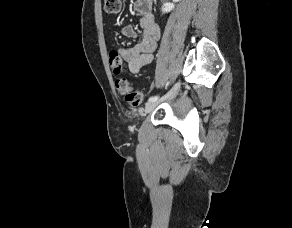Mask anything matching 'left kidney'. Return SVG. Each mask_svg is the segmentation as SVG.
Segmentation results:
<instances>
[{"instance_id":"1","label":"left kidney","mask_w":292,"mask_h":228,"mask_svg":"<svg viewBox=\"0 0 292 228\" xmlns=\"http://www.w3.org/2000/svg\"><path fill=\"white\" fill-rule=\"evenodd\" d=\"M180 0H173V3H164L163 6H162V12L163 13H168L170 12L173 8H174V3L175 2H178Z\"/></svg>"}]
</instances>
